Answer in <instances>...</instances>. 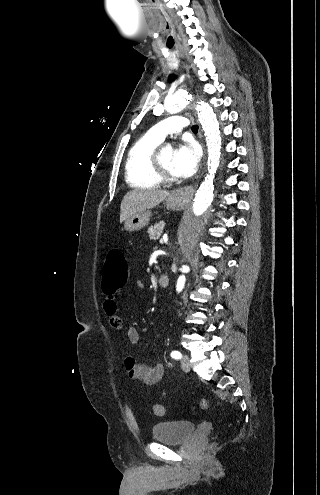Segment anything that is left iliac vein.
I'll use <instances>...</instances> for the list:
<instances>
[{
    "label": "left iliac vein",
    "mask_w": 320,
    "mask_h": 495,
    "mask_svg": "<svg viewBox=\"0 0 320 495\" xmlns=\"http://www.w3.org/2000/svg\"><path fill=\"white\" fill-rule=\"evenodd\" d=\"M181 368L184 372H189L190 371V361L189 357L187 355H183L181 359Z\"/></svg>",
    "instance_id": "1"
}]
</instances>
